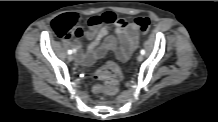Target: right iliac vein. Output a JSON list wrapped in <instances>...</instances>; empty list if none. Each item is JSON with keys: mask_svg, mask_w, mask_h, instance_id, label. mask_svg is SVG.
Returning <instances> with one entry per match:
<instances>
[{"mask_svg": "<svg viewBox=\"0 0 218 122\" xmlns=\"http://www.w3.org/2000/svg\"><path fill=\"white\" fill-rule=\"evenodd\" d=\"M73 59H74V56L70 54V55L68 56V60H69V61H73Z\"/></svg>", "mask_w": 218, "mask_h": 122, "instance_id": "63e3f726", "label": "right iliac vein"}]
</instances>
